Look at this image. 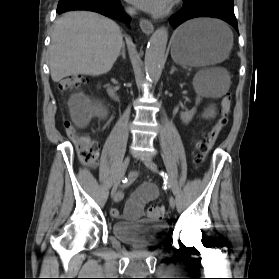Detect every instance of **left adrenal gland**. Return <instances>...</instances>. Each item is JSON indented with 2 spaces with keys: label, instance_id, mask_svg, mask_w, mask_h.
<instances>
[{
  "label": "left adrenal gland",
  "instance_id": "a2214340",
  "mask_svg": "<svg viewBox=\"0 0 279 279\" xmlns=\"http://www.w3.org/2000/svg\"><path fill=\"white\" fill-rule=\"evenodd\" d=\"M176 70H177L176 67L173 65L170 71V75H172Z\"/></svg>",
  "mask_w": 279,
  "mask_h": 279
}]
</instances>
